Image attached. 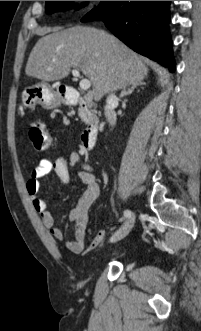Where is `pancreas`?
I'll use <instances>...</instances> for the list:
<instances>
[{
    "instance_id": "cf45deb5",
    "label": "pancreas",
    "mask_w": 201,
    "mask_h": 331,
    "mask_svg": "<svg viewBox=\"0 0 201 331\" xmlns=\"http://www.w3.org/2000/svg\"><path fill=\"white\" fill-rule=\"evenodd\" d=\"M78 115L84 123H86V124L90 123V117L83 108H79Z\"/></svg>"
}]
</instances>
